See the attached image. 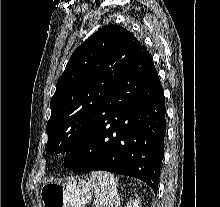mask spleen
Segmentation results:
<instances>
[{"instance_id": "obj_1", "label": "spleen", "mask_w": 220, "mask_h": 207, "mask_svg": "<svg viewBox=\"0 0 220 207\" xmlns=\"http://www.w3.org/2000/svg\"><path fill=\"white\" fill-rule=\"evenodd\" d=\"M95 192L96 207H117L119 195L114 176L109 172L96 171L91 173Z\"/></svg>"}]
</instances>
